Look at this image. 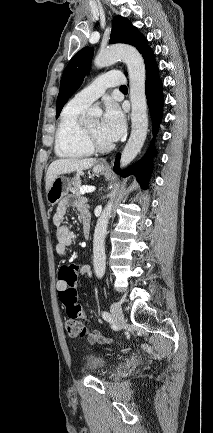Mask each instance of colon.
<instances>
[{
  "label": "colon",
  "mask_w": 213,
  "mask_h": 433,
  "mask_svg": "<svg viewBox=\"0 0 213 433\" xmlns=\"http://www.w3.org/2000/svg\"><path fill=\"white\" fill-rule=\"evenodd\" d=\"M58 279L64 284L63 290L59 292L60 300L65 306L66 316L64 319L65 329L71 337H84L87 335V330L83 323L79 320L84 318V311L77 299V279L78 273L75 267H61ZM91 340L97 338V331L88 334Z\"/></svg>",
  "instance_id": "obj_1"
}]
</instances>
